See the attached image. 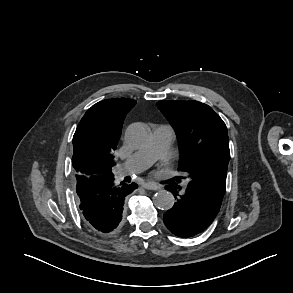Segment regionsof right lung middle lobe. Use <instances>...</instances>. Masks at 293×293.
Returning a JSON list of instances; mask_svg holds the SVG:
<instances>
[{
  "mask_svg": "<svg viewBox=\"0 0 293 293\" xmlns=\"http://www.w3.org/2000/svg\"><path fill=\"white\" fill-rule=\"evenodd\" d=\"M105 173H103V172H99L96 176H102V175H104Z\"/></svg>",
  "mask_w": 293,
  "mask_h": 293,
  "instance_id": "1",
  "label": "right lung middle lobe"
}]
</instances>
